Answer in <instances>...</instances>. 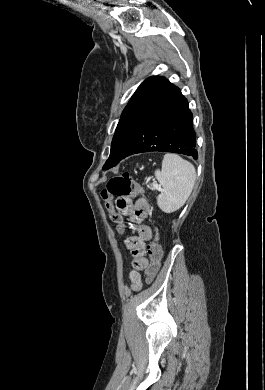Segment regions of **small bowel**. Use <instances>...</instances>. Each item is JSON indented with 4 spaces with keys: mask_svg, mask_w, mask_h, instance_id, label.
Masks as SVG:
<instances>
[{
    "mask_svg": "<svg viewBox=\"0 0 265 390\" xmlns=\"http://www.w3.org/2000/svg\"><path fill=\"white\" fill-rule=\"evenodd\" d=\"M117 211L128 217L132 225H135L137 235L126 239L125 244L132 254V270L129 277L134 289L141 287L140 271L148 266L146 257V242L152 239L151 227L142 224L149 213V204L145 199H138L135 203L128 197H118L115 202Z\"/></svg>",
    "mask_w": 265,
    "mask_h": 390,
    "instance_id": "c3829d8e",
    "label": "small bowel"
}]
</instances>
